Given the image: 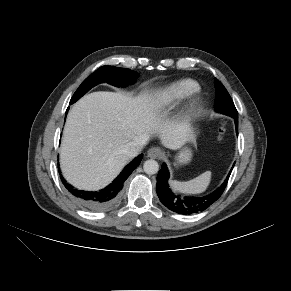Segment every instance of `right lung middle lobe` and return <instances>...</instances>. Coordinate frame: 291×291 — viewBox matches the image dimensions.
I'll return each instance as SVG.
<instances>
[{"label": "right lung middle lobe", "mask_w": 291, "mask_h": 291, "mask_svg": "<svg viewBox=\"0 0 291 291\" xmlns=\"http://www.w3.org/2000/svg\"><path fill=\"white\" fill-rule=\"evenodd\" d=\"M139 77V74L127 68L114 66H103L86 78L71 98L70 104L76 102L88 90L98 83L108 82L114 86H125L132 84Z\"/></svg>", "instance_id": "1"}]
</instances>
